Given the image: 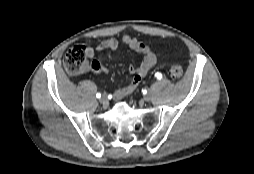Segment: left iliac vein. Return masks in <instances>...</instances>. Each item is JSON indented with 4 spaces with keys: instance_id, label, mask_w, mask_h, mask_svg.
Instances as JSON below:
<instances>
[{
    "instance_id": "obj_1",
    "label": "left iliac vein",
    "mask_w": 254,
    "mask_h": 174,
    "mask_svg": "<svg viewBox=\"0 0 254 174\" xmlns=\"http://www.w3.org/2000/svg\"><path fill=\"white\" fill-rule=\"evenodd\" d=\"M151 99V92H148L145 96H144V100L145 101H149Z\"/></svg>"
}]
</instances>
